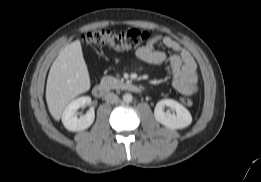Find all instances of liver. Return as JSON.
<instances>
[{
	"mask_svg": "<svg viewBox=\"0 0 261 182\" xmlns=\"http://www.w3.org/2000/svg\"><path fill=\"white\" fill-rule=\"evenodd\" d=\"M89 89L90 77L81 43L75 40L60 51L48 74L46 101L52 117L60 120L68 103Z\"/></svg>",
	"mask_w": 261,
	"mask_h": 182,
	"instance_id": "1",
	"label": "liver"
}]
</instances>
